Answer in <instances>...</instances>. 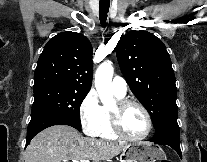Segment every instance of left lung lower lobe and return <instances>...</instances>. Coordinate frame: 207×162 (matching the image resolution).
Returning <instances> with one entry per match:
<instances>
[{
	"label": "left lung lower lobe",
	"instance_id": "0a47b994",
	"mask_svg": "<svg viewBox=\"0 0 207 162\" xmlns=\"http://www.w3.org/2000/svg\"><path fill=\"white\" fill-rule=\"evenodd\" d=\"M149 141L161 145H169L182 158L180 149L179 126L177 121H169L158 127L156 129L155 136Z\"/></svg>",
	"mask_w": 207,
	"mask_h": 162
}]
</instances>
